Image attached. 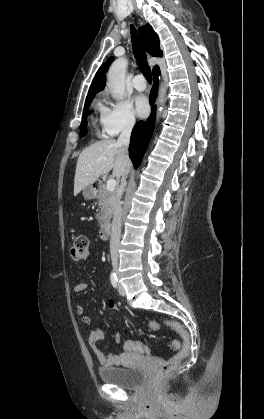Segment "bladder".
Here are the masks:
<instances>
[{"label": "bladder", "instance_id": "bladder-1", "mask_svg": "<svg viewBox=\"0 0 264 419\" xmlns=\"http://www.w3.org/2000/svg\"><path fill=\"white\" fill-rule=\"evenodd\" d=\"M100 379L123 389H134L142 384L145 371L140 367H108L99 370Z\"/></svg>", "mask_w": 264, "mask_h": 419}]
</instances>
